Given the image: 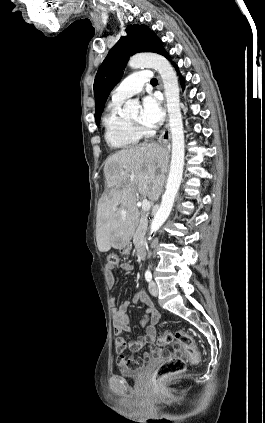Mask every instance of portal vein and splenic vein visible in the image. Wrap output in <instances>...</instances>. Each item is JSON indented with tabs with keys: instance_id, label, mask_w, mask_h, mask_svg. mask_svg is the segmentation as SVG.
Instances as JSON below:
<instances>
[{
	"instance_id": "18ae733b",
	"label": "portal vein and splenic vein",
	"mask_w": 265,
	"mask_h": 423,
	"mask_svg": "<svg viewBox=\"0 0 265 423\" xmlns=\"http://www.w3.org/2000/svg\"><path fill=\"white\" fill-rule=\"evenodd\" d=\"M141 206L143 211H149L151 208V204L147 199L142 200Z\"/></svg>"
}]
</instances>
